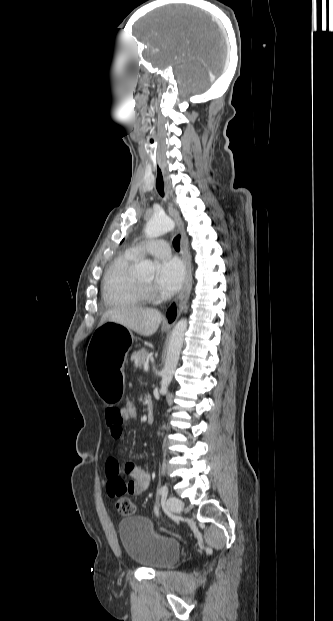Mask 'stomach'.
<instances>
[{"label":"stomach","mask_w":333,"mask_h":621,"mask_svg":"<svg viewBox=\"0 0 333 621\" xmlns=\"http://www.w3.org/2000/svg\"><path fill=\"white\" fill-rule=\"evenodd\" d=\"M134 339L131 330L114 322H106L94 332L89 342L88 374L95 393L103 398L110 409L121 401L126 389L123 351Z\"/></svg>","instance_id":"0dacf381"}]
</instances>
